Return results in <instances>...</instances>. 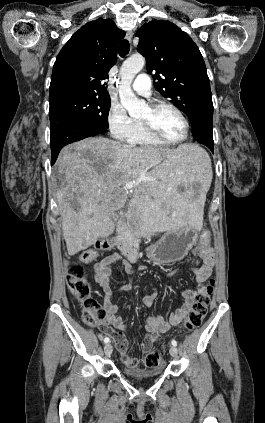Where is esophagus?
<instances>
[{"instance_id": "esophagus-1", "label": "esophagus", "mask_w": 265, "mask_h": 423, "mask_svg": "<svg viewBox=\"0 0 265 423\" xmlns=\"http://www.w3.org/2000/svg\"><path fill=\"white\" fill-rule=\"evenodd\" d=\"M132 37H133L132 31H127V33H126V39L128 41H131L132 40Z\"/></svg>"}]
</instances>
